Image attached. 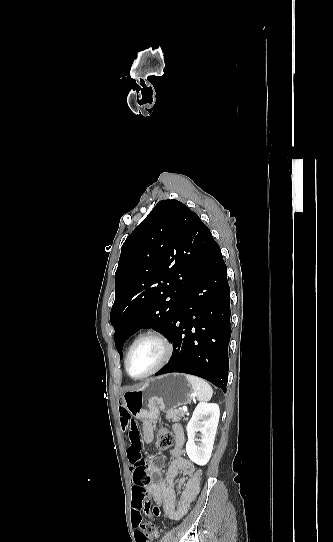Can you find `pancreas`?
I'll return each mask as SVG.
<instances>
[{
    "label": "pancreas",
    "instance_id": "pancreas-1",
    "mask_svg": "<svg viewBox=\"0 0 333 542\" xmlns=\"http://www.w3.org/2000/svg\"><path fill=\"white\" fill-rule=\"evenodd\" d=\"M186 412H183V410H168L166 412V418L167 420H172V422H179L181 418H184Z\"/></svg>",
    "mask_w": 333,
    "mask_h": 542
}]
</instances>
